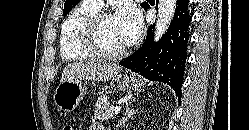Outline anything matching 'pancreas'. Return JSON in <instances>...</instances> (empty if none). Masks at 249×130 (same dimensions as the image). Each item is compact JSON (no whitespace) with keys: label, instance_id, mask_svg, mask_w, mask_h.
Returning a JSON list of instances; mask_svg holds the SVG:
<instances>
[{"label":"pancreas","instance_id":"obj_1","mask_svg":"<svg viewBox=\"0 0 249 130\" xmlns=\"http://www.w3.org/2000/svg\"><path fill=\"white\" fill-rule=\"evenodd\" d=\"M105 99H107V96H100L95 106L94 114L101 121L109 120L113 116L112 109L114 108V105L105 101Z\"/></svg>","mask_w":249,"mask_h":130}]
</instances>
